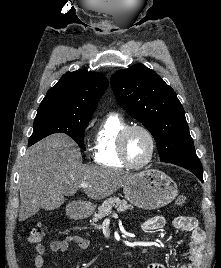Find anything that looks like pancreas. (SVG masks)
I'll return each mask as SVG.
<instances>
[{
    "mask_svg": "<svg viewBox=\"0 0 221 268\" xmlns=\"http://www.w3.org/2000/svg\"><path fill=\"white\" fill-rule=\"evenodd\" d=\"M113 207H115L118 211L133 209V206L129 205L126 200H122L118 197H110L98 207V212L94 214L93 221H98L99 219L104 218L112 212Z\"/></svg>",
    "mask_w": 221,
    "mask_h": 268,
    "instance_id": "obj_1",
    "label": "pancreas"
}]
</instances>
